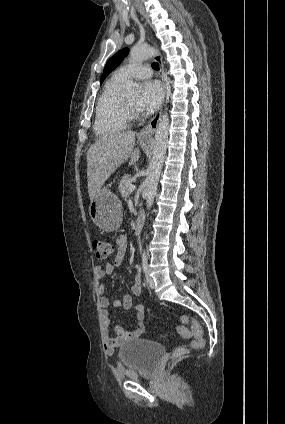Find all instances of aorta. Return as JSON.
Wrapping results in <instances>:
<instances>
[{
    "mask_svg": "<svg viewBox=\"0 0 285 424\" xmlns=\"http://www.w3.org/2000/svg\"><path fill=\"white\" fill-rule=\"evenodd\" d=\"M157 55V51L149 46H135L130 51V62L139 63ZM139 85L130 81L126 87L128 95L137 94ZM169 116L164 112L159 118V124L155 134L152 160L148 167V174L145 180L147 191V209H150L157 192L159 177L166 154V145L168 140Z\"/></svg>",
    "mask_w": 285,
    "mask_h": 424,
    "instance_id": "762f6f07",
    "label": "aorta"
}]
</instances>
